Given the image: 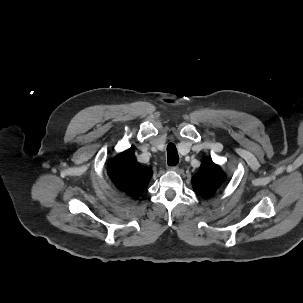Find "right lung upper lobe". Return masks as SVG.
Returning a JSON list of instances; mask_svg holds the SVG:
<instances>
[{
	"instance_id": "obj_1",
	"label": "right lung upper lobe",
	"mask_w": 303,
	"mask_h": 303,
	"mask_svg": "<svg viewBox=\"0 0 303 303\" xmlns=\"http://www.w3.org/2000/svg\"><path fill=\"white\" fill-rule=\"evenodd\" d=\"M108 175L118 189L137 198L147 189L152 170L141 166L129 151H124L109 161Z\"/></svg>"
}]
</instances>
